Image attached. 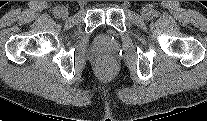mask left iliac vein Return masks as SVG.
<instances>
[{
	"label": "left iliac vein",
	"instance_id": "obj_1",
	"mask_svg": "<svg viewBox=\"0 0 207 121\" xmlns=\"http://www.w3.org/2000/svg\"><path fill=\"white\" fill-rule=\"evenodd\" d=\"M141 15L143 17H148L150 15V12L147 8L144 7V8L141 9Z\"/></svg>",
	"mask_w": 207,
	"mask_h": 121
}]
</instances>
